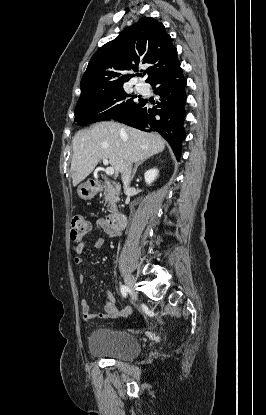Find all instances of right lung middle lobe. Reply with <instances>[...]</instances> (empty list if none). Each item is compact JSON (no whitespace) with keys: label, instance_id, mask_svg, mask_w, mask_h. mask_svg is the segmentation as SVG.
Returning <instances> with one entry per match:
<instances>
[{"label":"right lung middle lobe","instance_id":"right-lung-middle-lobe-1","mask_svg":"<svg viewBox=\"0 0 266 415\" xmlns=\"http://www.w3.org/2000/svg\"><path fill=\"white\" fill-rule=\"evenodd\" d=\"M123 86L105 91L93 96L80 98L75 108V121L78 125H86L98 121L108 120L127 111L141 99L133 101Z\"/></svg>","mask_w":266,"mask_h":415}]
</instances>
